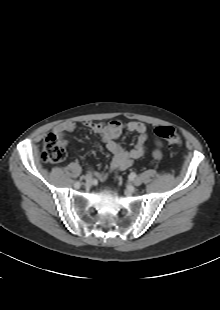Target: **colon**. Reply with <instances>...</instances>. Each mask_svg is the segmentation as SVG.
Returning <instances> with one entry per match:
<instances>
[{
	"mask_svg": "<svg viewBox=\"0 0 220 310\" xmlns=\"http://www.w3.org/2000/svg\"><path fill=\"white\" fill-rule=\"evenodd\" d=\"M154 134L170 144H180L179 132L171 126H158ZM66 150L62 139L54 133H49L43 144L42 157L46 162L58 163L65 159Z\"/></svg>",
	"mask_w": 220,
	"mask_h": 310,
	"instance_id": "colon-1",
	"label": "colon"
}]
</instances>
